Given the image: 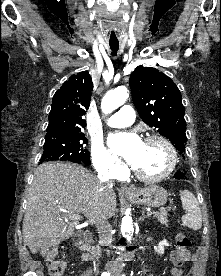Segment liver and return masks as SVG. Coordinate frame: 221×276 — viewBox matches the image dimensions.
I'll use <instances>...</instances> for the list:
<instances>
[{"instance_id":"liver-1","label":"liver","mask_w":221,"mask_h":276,"mask_svg":"<svg viewBox=\"0 0 221 276\" xmlns=\"http://www.w3.org/2000/svg\"><path fill=\"white\" fill-rule=\"evenodd\" d=\"M116 211V195L110 186L83 166L51 162L34 172L23 220L24 244L33 254L40 249L56 248L74 235L83 214L90 222L97 216L106 219ZM71 220V221H67Z\"/></svg>"}]
</instances>
